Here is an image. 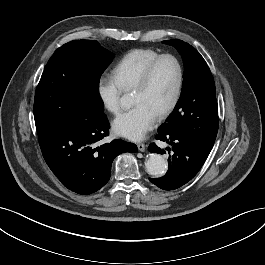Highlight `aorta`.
I'll return each instance as SVG.
<instances>
[{
	"instance_id": "1",
	"label": "aorta",
	"mask_w": 265,
	"mask_h": 265,
	"mask_svg": "<svg viewBox=\"0 0 265 265\" xmlns=\"http://www.w3.org/2000/svg\"><path fill=\"white\" fill-rule=\"evenodd\" d=\"M147 172L155 177L162 176L167 170V163L162 155L151 154L145 163Z\"/></svg>"
}]
</instances>
